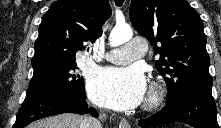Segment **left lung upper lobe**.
<instances>
[{
    "label": "left lung upper lobe",
    "instance_id": "5c2ea615",
    "mask_svg": "<svg viewBox=\"0 0 221 128\" xmlns=\"http://www.w3.org/2000/svg\"><path fill=\"white\" fill-rule=\"evenodd\" d=\"M130 19L161 54L155 66L167 84L166 105L192 92L211 93L203 22L187 1L132 0Z\"/></svg>",
    "mask_w": 221,
    "mask_h": 128
}]
</instances>
